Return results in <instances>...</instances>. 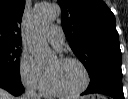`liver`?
<instances>
[{
	"instance_id": "obj_1",
	"label": "liver",
	"mask_w": 128,
	"mask_h": 99,
	"mask_svg": "<svg viewBox=\"0 0 128 99\" xmlns=\"http://www.w3.org/2000/svg\"><path fill=\"white\" fill-rule=\"evenodd\" d=\"M92 98H94V96H92ZM0 99H15V98L7 91L0 88Z\"/></svg>"
}]
</instances>
